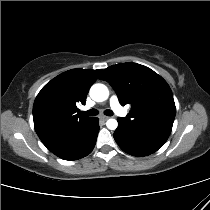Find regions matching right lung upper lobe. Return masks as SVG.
Instances as JSON below:
<instances>
[{
	"instance_id": "1",
	"label": "right lung upper lobe",
	"mask_w": 210,
	"mask_h": 210,
	"mask_svg": "<svg viewBox=\"0 0 210 210\" xmlns=\"http://www.w3.org/2000/svg\"><path fill=\"white\" fill-rule=\"evenodd\" d=\"M101 71H66L48 82L37 95L33 105L34 127L49 150L92 121L93 117L76 114L77 105L85 104L89 88Z\"/></svg>"
}]
</instances>
